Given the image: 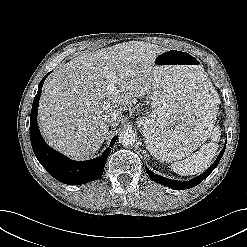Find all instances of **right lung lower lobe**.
<instances>
[{
	"label": "right lung lower lobe",
	"mask_w": 247,
	"mask_h": 247,
	"mask_svg": "<svg viewBox=\"0 0 247 247\" xmlns=\"http://www.w3.org/2000/svg\"><path fill=\"white\" fill-rule=\"evenodd\" d=\"M48 74L39 84L30 115V139L35 156L52 177L64 184L80 185L97 180L103 174L107 157L109 156L117 137L112 139L110 146L101 156L88 161L77 162L70 160L66 156L50 148L43 140L37 124L40 94L42 92L44 80Z\"/></svg>",
	"instance_id": "98d812e1"
}]
</instances>
